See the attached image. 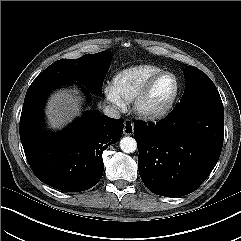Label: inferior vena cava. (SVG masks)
<instances>
[{"label": "inferior vena cava", "instance_id": "obj_1", "mask_svg": "<svg viewBox=\"0 0 241 241\" xmlns=\"http://www.w3.org/2000/svg\"><path fill=\"white\" fill-rule=\"evenodd\" d=\"M104 114L107 117L114 118V119H119L120 118V112L115 108L114 106H105L103 109Z\"/></svg>", "mask_w": 241, "mask_h": 241}]
</instances>
